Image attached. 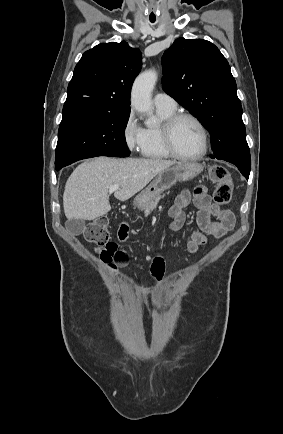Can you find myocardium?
<instances>
[{
	"label": "myocardium",
	"mask_w": 283,
	"mask_h": 434,
	"mask_svg": "<svg viewBox=\"0 0 283 434\" xmlns=\"http://www.w3.org/2000/svg\"><path fill=\"white\" fill-rule=\"evenodd\" d=\"M182 119L191 120L192 122L195 123V125L198 127V129L200 131L201 138H202V147H201V150L197 154L183 155V154L179 153L174 146V142H173L174 127ZM161 133H162L163 144H164L166 151L169 153L170 156H172L176 159L183 160V161L199 160L203 156H205L207 151H208L209 138H208L207 129L204 126V124L202 123V121L192 113L175 112L174 114H172L169 118H167L162 123Z\"/></svg>",
	"instance_id": "f54148a6"
}]
</instances>
